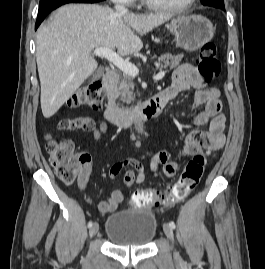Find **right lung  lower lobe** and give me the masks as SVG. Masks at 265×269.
Wrapping results in <instances>:
<instances>
[{
  "instance_id": "right-lung-lower-lobe-1",
  "label": "right lung lower lobe",
  "mask_w": 265,
  "mask_h": 269,
  "mask_svg": "<svg viewBox=\"0 0 265 269\" xmlns=\"http://www.w3.org/2000/svg\"><path fill=\"white\" fill-rule=\"evenodd\" d=\"M104 0H40L38 17L35 29L41 24L44 18L54 9L66 3H96Z\"/></svg>"
}]
</instances>
